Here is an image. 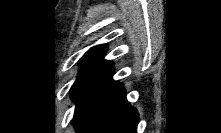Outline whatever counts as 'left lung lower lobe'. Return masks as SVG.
<instances>
[{
    "label": "left lung lower lobe",
    "mask_w": 221,
    "mask_h": 133,
    "mask_svg": "<svg viewBox=\"0 0 221 133\" xmlns=\"http://www.w3.org/2000/svg\"><path fill=\"white\" fill-rule=\"evenodd\" d=\"M112 68L89 84L76 98L73 125L79 133H136L138 113L126 100Z\"/></svg>",
    "instance_id": "1"
}]
</instances>
